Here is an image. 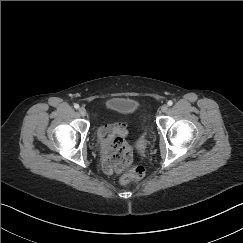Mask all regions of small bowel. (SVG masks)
<instances>
[{"instance_id":"c3829d8e","label":"small bowel","mask_w":243,"mask_h":243,"mask_svg":"<svg viewBox=\"0 0 243 243\" xmlns=\"http://www.w3.org/2000/svg\"><path fill=\"white\" fill-rule=\"evenodd\" d=\"M101 138V165L106 174H120L123 165L130 160V148L125 144L128 130L123 123L103 124L98 129ZM120 150L124 160L121 161L120 155L116 152Z\"/></svg>"}]
</instances>
